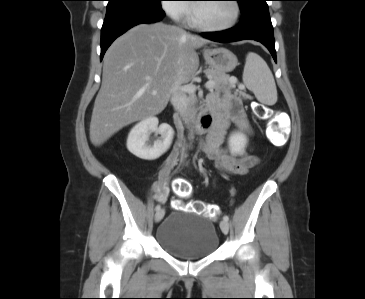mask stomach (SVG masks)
Here are the masks:
<instances>
[{"mask_svg":"<svg viewBox=\"0 0 365 299\" xmlns=\"http://www.w3.org/2000/svg\"><path fill=\"white\" fill-rule=\"evenodd\" d=\"M203 55L206 63L218 72H231L238 65L237 57L226 48L205 49Z\"/></svg>","mask_w":365,"mask_h":299,"instance_id":"0dacf381","label":"stomach"}]
</instances>
